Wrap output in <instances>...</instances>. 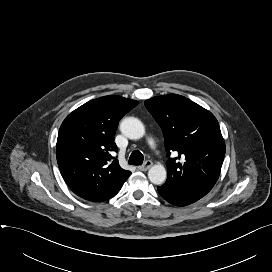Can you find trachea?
<instances>
[{
	"instance_id": "1",
	"label": "trachea",
	"mask_w": 272,
	"mask_h": 272,
	"mask_svg": "<svg viewBox=\"0 0 272 272\" xmlns=\"http://www.w3.org/2000/svg\"><path fill=\"white\" fill-rule=\"evenodd\" d=\"M143 160V154L139 150H134L129 157L128 163L130 165H142Z\"/></svg>"
}]
</instances>
